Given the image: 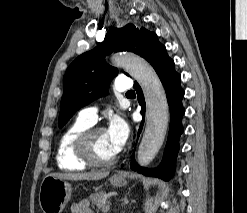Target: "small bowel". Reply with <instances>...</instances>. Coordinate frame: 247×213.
Listing matches in <instances>:
<instances>
[{
  "mask_svg": "<svg viewBox=\"0 0 247 213\" xmlns=\"http://www.w3.org/2000/svg\"><path fill=\"white\" fill-rule=\"evenodd\" d=\"M71 212L72 213H92V210L90 208V204L87 200L74 203L71 206Z\"/></svg>",
  "mask_w": 247,
  "mask_h": 213,
  "instance_id": "obj_1",
  "label": "small bowel"
}]
</instances>
